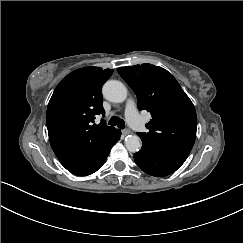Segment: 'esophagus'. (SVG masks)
Instances as JSON below:
<instances>
[{
  "label": "esophagus",
  "mask_w": 243,
  "mask_h": 243,
  "mask_svg": "<svg viewBox=\"0 0 243 243\" xmlns=\"http://www.w3.org/2000/svg\"><path fill=\"white\" fill-rule=\"evenodd\" d=\"M121 133H122V136H126V135H129V134H132V131L129 130V129H124V130L121 131Z\"/></svg>",
  "instance_id": "1"
}]
</instances>
